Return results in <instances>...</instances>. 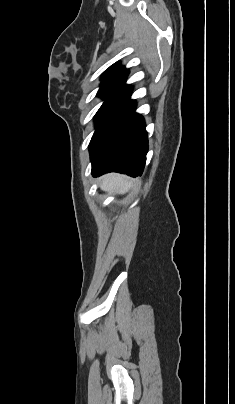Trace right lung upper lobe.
Instances as JSON below:
<instances>
[{
    "mask_svg": "<svg viewBox=\"0 0 235 404\" xmlns=\"http://www.w3.org/2000/svg\"><path fill=\"white\" fill-rule=\"evenodd\" d=\"M128 74V70L117 62L103 73L101 85H124Z\"/></svg>",
    "mask_w": 235,
    "mask_h": 404,
    "instance_id": "obj_1",
    "label": "right lung upper lobe"
}]
</instances>
